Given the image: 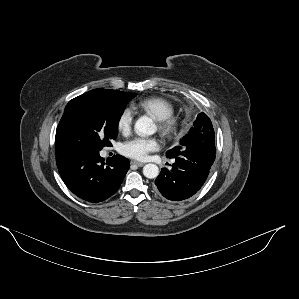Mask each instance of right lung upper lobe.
Masks as SVG:
<instances>
[{
  "label": "right lung upper lobe",
  "mask_w": 299,
  "mask_h": 299,
  "mask_svg": "<svg viewBox=\"0 0 299 299\" xmlns=\"http://www.w3.org/2000/svg\"><path fill=\"white\" fill-rule=\"evenodd\" d=\"M115 90H109V89H94V90H91L83 95H99V94H109V93H112L114 92ZM56 155L57 157L59 156H63L64 154L58 152L56 150Z\"/></svg>",
  "instance_id": "right-lung-upper-lobe-1"
}]
</instances>
